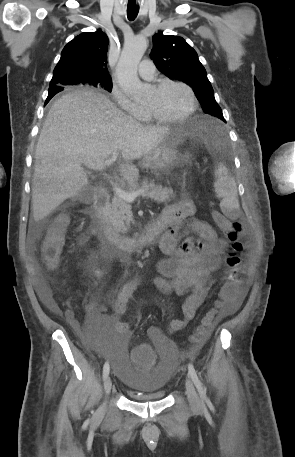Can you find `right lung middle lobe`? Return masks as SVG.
Here are the masks:
<instances>
[{"label": "right lung middle lobe", "instance_id": "right-lung-middle-lobe-1", "mask_svg": "<svg viewBox=\"0 0 295 457\" xmlns=\"http://www.w3.org/2000/svg\"><path fill=\"white\" fill-rule=\"evenodd\" d=\"M89 85L100 86L108 91L111 92L112 90V81H94L91 82Z\"/></svg>", "mask_w": 295, "mask_h": 457}]
</instances>
